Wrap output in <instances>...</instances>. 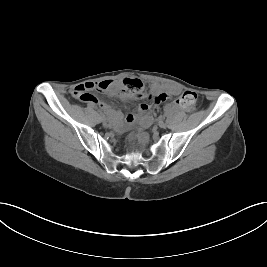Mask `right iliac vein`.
<instances>
[{"label": "right iliac vein", "instance_id": "1", "mask_svg": "<svg viewBox=\"0 0 267 267\" xmlns=\"http://www.w3.org/2000/svg\"><path fill=\"white\" fill-rule=\"evenodd\" d=\"M101 119H102V121H106L107 120L105 116H102Z\"/></svg>", "mask_w": 267, "mask_h": 267}]
</instances>
